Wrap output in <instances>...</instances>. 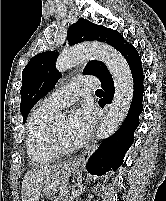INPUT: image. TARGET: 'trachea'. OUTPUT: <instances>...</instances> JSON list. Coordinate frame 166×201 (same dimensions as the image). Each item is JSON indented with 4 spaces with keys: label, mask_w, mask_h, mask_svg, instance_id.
<instances>
[{
    "label": "trachea",
    "mask_w": 166,
    "mask_h": 201,
    "mask_svg": "<svg viewBox=\"0 0 166 201\" xmlns=\"http://www.w3.org/2000/svg\"><path fill=\"white\" fill-rule=\"evenodd\" d=\"M96 94H103V90L98 89V90L96 91Z\"/></svg>",
    "instance_id": "obj_1"
}]
</instances>
